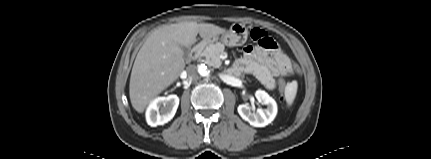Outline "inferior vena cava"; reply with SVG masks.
I'll list each match as a JSON object with an SVG mask.
<instances>
[{"mask_svg": "<svg viewBox=\"0 0 431 159\" xmlns=\"http://www.w3.org/2000/svg\"><path fill=\"white\" fill-rule=\"evenodd\" d=\"M187 74H188V77L192 80H196L199 77L198 72H197V68L195 65H190L187 68Z\"/></svg>", "mask_w": 431, "mask_h": 159, "instance_id": "1", "label": "inferior vena cava"}]
</instances>
